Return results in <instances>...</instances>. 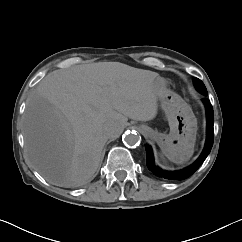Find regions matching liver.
Segmentation results:
<instances>
[{
  "label": "liver",
  "mask_w": 242,
  "mask_h": 242,
  "mask_svg": "<svg viewBox=\"0 0 242 242\" xmlns=\"http://www.w3.org/2000/svg\"><path fill=\"white\" fill-rule=\"evenodd\" d=\"M166 85L158 73L120 62L53 71L26 102L23 135L31 163L53 185L86 184L111 139L106 127L118 120L122 133L128 118L154 119Z\"/></svg>",
  "instance_id": "obj_1"
}]
</instances>
